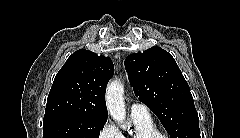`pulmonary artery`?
Returning <instances> with one entry per match:
<instances>
[{"label": "pulmonary artery", "mask_w": 240, "mask_h": 138, "mask_svg": "<svg viewBox=\"0 0 240 138\" xmlns=\"http://www.w3.org/2000/svg\"><path fill=\"white\" fill-rule=\"evenodd\" d=\"M131 116H133V117H148L149 110L146 105L135 102L131 105Z\"/></svg>", "instance_id": "pulmonary-artery-1"}]
</instances>
